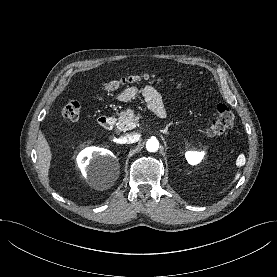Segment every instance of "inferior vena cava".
I'll return each instance as SVG.
<instances>
[{
    "label": "inferior vena cava",
    "mask_w": 277,
    "mask_h": 277,
    "mask_svg": "<svg viewBox=\"0 0 277 277\" xmlns=\"http://www.w3.org/2000/svg\"><path fill=\"white\" fill-rule=\"evenodd\" d=\"M122 143L130 144L135 143L139 140V136L135 133L132 134H126L125 136L121 137Z\"/></svg>",
    "instance_id": "inferior-vena-cava-1"
}]
</instances>
